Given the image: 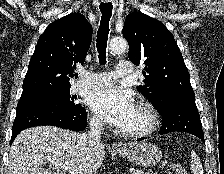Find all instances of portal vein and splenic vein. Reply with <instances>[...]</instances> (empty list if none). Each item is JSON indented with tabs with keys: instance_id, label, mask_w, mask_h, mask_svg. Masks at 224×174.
<instances>
[{
	"instance_id": "obj_1",
	"label": "portal vein and splenic vein",
	"mask_w": 224,
	"mask_h": 174,
	"mask_svg": "<svg viewBox=\"0 0 224 174\" xmlns=\"http://www.w3.org/2000/svg\"><path fill=\"white\" fill-rule=\"evenodd\" d=\"M57 167H60L62 170H67L70 172V174H81V172H78L76 169L73 167L67 165V164H62V163H56ZM132 174H141V171H133Z\"/></svg>"
}]
</instances>
